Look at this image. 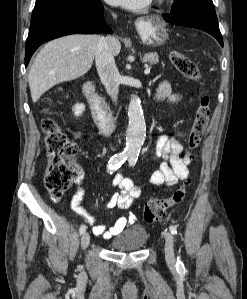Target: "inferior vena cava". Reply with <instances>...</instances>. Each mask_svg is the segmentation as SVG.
Here are the masks:
<instances>
[{"label": "inferior vena cava", "instance_id": "1", "mask_svg": "<svg viewBox=\"0 0 247 299\" xmlns=\"http://www.w3.org/2000/svg\"><path fill=\"white\" fill-rule=\"evenodd\" d=\"M95 62L99 77L104 84L107 93L114 102L117 101L120 85V75L115 65L114 57L108 44V40L99 37L96 51Z\"/></svg>", "mask_w": 247, "mask_h": 299}]
</instances>
